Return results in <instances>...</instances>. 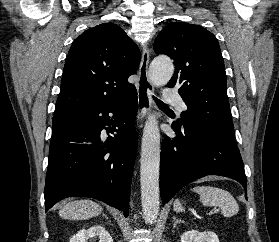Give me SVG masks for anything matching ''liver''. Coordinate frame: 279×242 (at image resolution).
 <instances>
[{
    "instance_id": "6515ba94",
    "label": "liver",
    "mask_w": 279,
    "mask_h": 242,
    "mask_svg": "<svg viewBox=\"0 0 279 242\" xmlns=\"http://www.w3.org/2000/svg\"><path fill=\"white\" fill-rule=\"evenodd\" d=\"M102 210V207L94 201L75 200L64 204L59 210V215L63 219H88L101 214Z\"/></svg>"
}]
</instances>
